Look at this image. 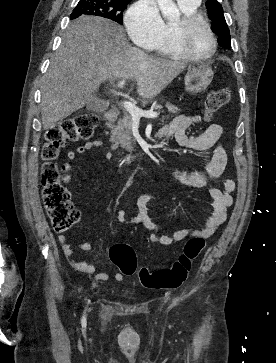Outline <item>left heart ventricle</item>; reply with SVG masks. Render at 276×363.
Returning <instances> with one entry per match:
<instances>
[{
	"label": "left heart ventricle",
	"instance_id": "b2bd125f",
	"mask_svg": "<svg viewBox=\"0 0 276 363\" xmlns=\"http://www.w3.org/2000/svg\"><path fill=\"white\" fill-rule=\"evenodd\" d=\"M188 49L196 55H206L210 52L212 42L203 25L195 26L186 38Z\"/></svg>",
	"mask_w": 276,
	"mask_h": 363
}]
</instances>
